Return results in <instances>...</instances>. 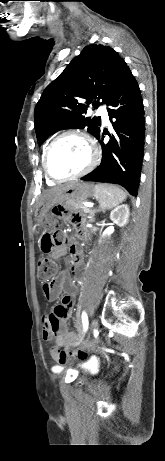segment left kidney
Instances as JSON below:
<instances>
[{"mask_svg": "<svg viewBox=\"0 0 165 461\" xmlns=\"http://www.w3.org/2000/svg\"><path fill=\"white\" fill-rule=\"evenodd\" d=\"M129 214V206L127 204H123L111 211L110 219L116 225L124 227L128 223Z\"/></svg>", "mask_w": 165, "mask_h": 461, "instance_id": "left-kidney-1", "label": "left kidney"}]
</instances>
